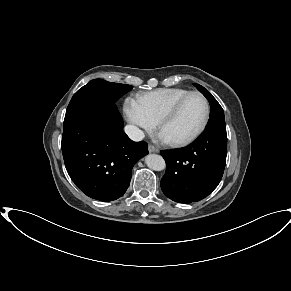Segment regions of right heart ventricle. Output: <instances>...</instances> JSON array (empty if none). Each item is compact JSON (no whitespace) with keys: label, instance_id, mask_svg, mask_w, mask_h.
Listing matches in <instances>:
<instances>
[{"label":"right heart ventricle","instance_id":"obj_1","mask_svg":"<svg viewBox=\"0 0 291 291\" xmlns=\"http://www.w3.org/2000/svg\"><path fill=\"white\" fill-rule=\"evenodd\" d=\"M190 91L182 88H163L141 94L138 102L146 114L158 123L162 116L183 96Z\"/></svg>","mask_w":291,"mask_h":291}]
</instances>
